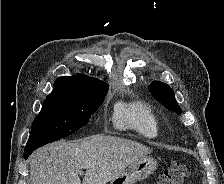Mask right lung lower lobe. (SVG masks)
Here are the masks:
<instances>
[{"instance_id":"98d812e1","label":"right lung lower lobe","mask_w":224,"mask_h":184,"mask_svg":"<svg viewBox=\"0 0 224 184\" xmlns=\"http://www.w3.org/2000/svg\"><path fill=\"white\" fill-rule=\"evenodd\" d=\"M33 149H25L24 151V159H27L28 156L33 152Z\"/></svg>"}]
</instances>
